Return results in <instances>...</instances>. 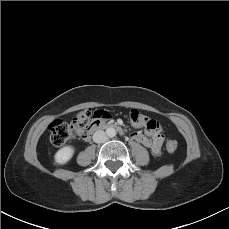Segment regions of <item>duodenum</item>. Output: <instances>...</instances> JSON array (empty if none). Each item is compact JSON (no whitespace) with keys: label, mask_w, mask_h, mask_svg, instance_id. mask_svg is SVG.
<instances>
[{"label":"duodenum","mask_w":229,"mask_h":229,"mask_svg":"<svg viewBox=\"0 0 229 229\" xmlns=\"http://www.w3.org/2000/svg\"><path fill=\"white\" fill-rule=\"evenodd\" d=\"M106 127H116L117 130H119L121 133H124L122 127L117 126V125H115L113 123H110V122H106L104 120H96V121H94L89 127V132H93V131H96L98 129L106 128Z\"/></svg>","instance_id":"duodenum-1"}]
</instances>
